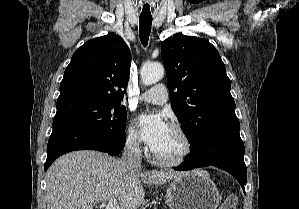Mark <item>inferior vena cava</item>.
<instances>
[{
  "label": "inferior vena cava",
  "mask_w": 299,
  "mask_h": 209,
  "mask_svg": "<svg viewBox=\"0 0 299 209\" xmlns=\"http://www.w3.org/2000/svg\"><path fill=\"white\" fill-rule=\"evenodd\" d=\"M141 150L139 148V140L135 137H130L126 141L122 161L130 169H141Z\"/></svg>",
  "instance_id": "inferior-vena-cava-1"
}]
</instances>
